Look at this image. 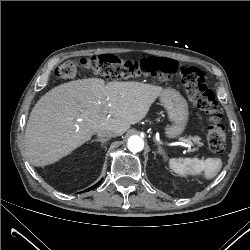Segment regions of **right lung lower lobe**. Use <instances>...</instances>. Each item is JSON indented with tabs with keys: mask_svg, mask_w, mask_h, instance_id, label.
I'll return each instance as SVG.
<instances>
[{
	"mask_svg": "<svg viewBox=\"0 0 250 250\" xmlns=\"http://www.w3.org/2000/svg\"><path fill=\"white\" fill-rule=\"evenodd\" d=\"M100 183H101V181L98 182L97 184H95L94 186H92L91 188H89L88 191L91 190V189H94V188L97 187ZM85 191H87V190H85Z\"/></svg>",
	"mask_w": 250,
	"mask_h": 250,
	"instance_id": "right-lung-lower-lobe-1",
	"label": "right lung lower lobe"
}]
</instances>
